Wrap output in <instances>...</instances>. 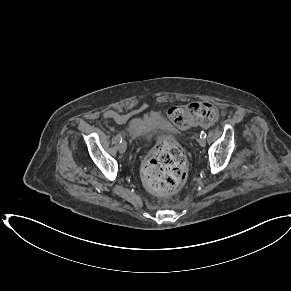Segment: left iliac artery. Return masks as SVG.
Instances as JSON below:
<instances>
[{"mask_svg": "<svg viewBox=\"0 0 291 291\" xmlns=\"http://www.w3.org/2000/svg\"><path fill=\"white\" fill-rule=\"evenodd\" d=\"M206 132L205 131H201V134H200V138H206Z\"/></svg>", "mask_w": 291, "mask_h": 291, "instance_id": "1", "label": "left iliac artery"}]
</instances>
